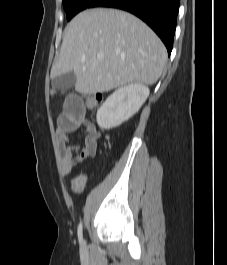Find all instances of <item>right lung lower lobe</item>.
<instances>
[{"mask_svg": "<svg viewBox=\"0 0 227 265\" xmlns=\"http://www.w3.org/2000/svg\"><path fill=\"white\" fill-rule=\"evenodd\" d=\"M112 7L133 13L146 22L165 44L168 55L173 47L179 0H93L88 8Z\"/></svg>", "mask_w": 227, "mask_h": 265, "instance_id": "obj_1", "label": "right lung lower lobe"}]
</instances>
